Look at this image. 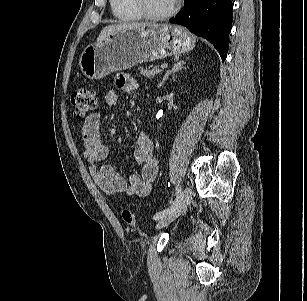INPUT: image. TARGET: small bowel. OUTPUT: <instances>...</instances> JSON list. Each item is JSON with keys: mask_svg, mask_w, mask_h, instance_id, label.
<instances>
[{"mask_svg": "<svg viewBox=\"0 0 307 301\" xmlns=\"http://www.w3.org/2000/svg\"><path fill=\"white\" fill-rule=\"evenodd\" d=\"M116 86L125 92L139 88L138 81L127 74L116 78ZM108 105H114L117 95L114 91L105 94ZM83 156L88 163V171L94 183L106 194L126 193L129 196H146L158 172V162L154 156V145L151 138L144 132L137 136L134 159L141 165L140 174H132L126 180L113 167L102 162L110 154L109 147L102 141L100 134V114L95 112L85 119L82 126Z\"/></svg>", "mask_w": 307, "mask_h": 301, "instance_id": "c3829d8e", "label": "small bowel"}]
</instances>
